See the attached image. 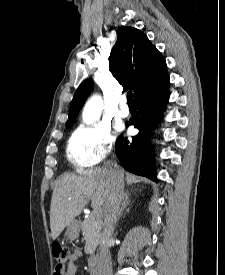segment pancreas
Returning <instances> with one entry per match:
<instances>
[{"label": "pancreas", "instance_id": "obj_1", "mask_svg": "<svg viewBox=\"0 0 225 275\" xmlns=\"http://www.w3.org/2000/svg\"><path fill=\"white\" fill-rule=\"evenodd\" d=\"M81 230L86 240L85 253L93 254L99 244L101 224L94 217H89L81 224Z\"/></svg>", "mask_w": 225, "mask_h": 275}]
</instances>
